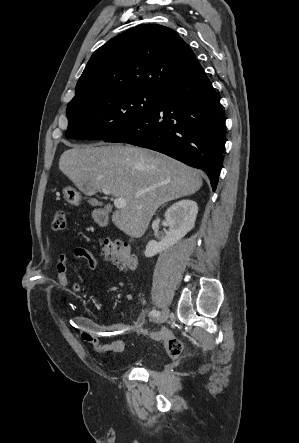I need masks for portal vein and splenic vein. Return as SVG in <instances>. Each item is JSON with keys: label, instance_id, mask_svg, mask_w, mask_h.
Here are the masks:
<instances>
[{"label": "portal vein and splenic vein", "instance_id": "18ae733b", "mask_svg": "<svg viewBox=\"0 0 299 443\" xmlns=\"http://www.w3.org/2000/svg\"><path fill=\"white\" fill-rule=\"evenodd\" d=\"M102 192L105 195H110L111 194V192L109 190L105 189V188L102 189ZM126 205H127V202H126V200L124 198H116L114 200V206L116 208H118V209H122V208L126 207Z\"/></svg>", "mask_w": 299, "mask_h": 443}]
</instances>
